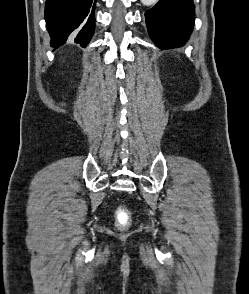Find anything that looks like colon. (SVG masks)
I'll return each instance as SVG.
<instances>
[{
  "label": "colon",
  "instance_id": "obj_1",
  "mask_svg": "<svg viewBox=\"0 0 249 294\" xmlns=\"http://www.w3.org/2000/svg\"><path fill=\"white\" fill-rule=\"evenodd\" d=\"M128 215L124 210L118 211V224L120 226H125L128 223Z\"/></svg>",
  "mask_w": 249,
  "mask_h": 294
}]
</instances>
